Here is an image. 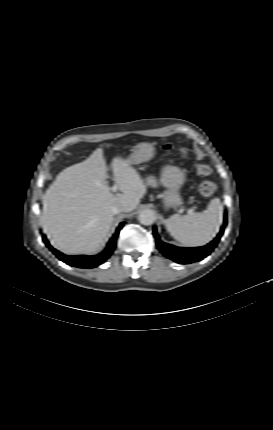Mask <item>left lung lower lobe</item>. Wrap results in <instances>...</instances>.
<instances>
[{
  "label": "left lung lower lobe",
  "instance_id": "obj_1",
  "mask_svg": "<svg viewBox=\"0 0 273 430\" xmlns=\"http://www.w3.org/2000/svg\"><path fill=\"white\" fill-rule=\"evenodd\" d=\"M226 225L227 219L225 217L223 226L217 237L206 246L197 248H181L162 242L157 234L156 227L153 228V235L156 239L158 249L164 256L180 264H189L202 260L214 250L224 233Z\"/></svg>",
  "mask_w": 273,
  "mask_h": 430
}]
</instances>
